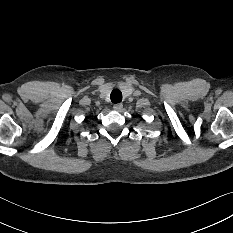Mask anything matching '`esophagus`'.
Returning <instances> with one entry per match:
<instances>
[{
    "mask_svg": "<svg viewBox=\"0 0 233 233\" xmlns=\"http://www.w3.org/2000/svg\"><path fill=\"white\" fill-rule=\"evenodd\" d=\"M123 108V104L122 103H116L113 105V109L116 111H121Z\"/></svg>",
    "mask_w": 233,
    "mask_h": 233,
    "instance_id": "34e87169",
    "label": "esophagus"
}]
</instances>
